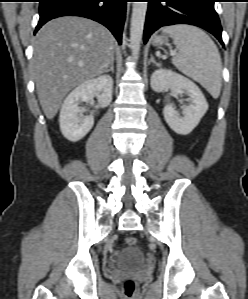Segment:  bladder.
I'll list each match as a JSON object with an SVG mask.
<instances>
[{"label": "bladder", "instance_id": "31cf9c89", "mask_svg": "<svg viewBox=\"0 0 248 299\" xmlns=\"http://www.w3.org/2000/svg\"><path fill=\"white\" fill-rule=\"evenodd\" d=\"M144 264V256L142 252L135 246H129L122 251L115 260L117 269L138 270Z\"/></svg>", "mask_w": 248, "mask_h": 299}]
</instances>
